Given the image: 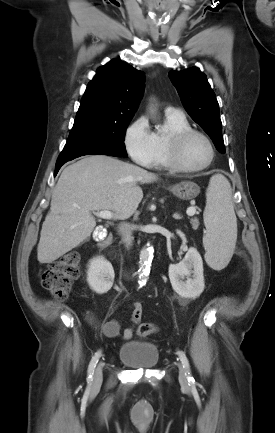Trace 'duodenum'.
Instances as JSON below:
<instances>
[{"instance_id": "410a0bca", "label": "duodenum", "mask_w": 275, "mask_h": 433, "mask_svg": "<svg viewBox=\"0 0 275 433\" xmlns=\"http://www.w3.org/2000/svg\"><path fill=\"white\" fill-rule=\"evenodd\" d=\"M110 241H111V237L110 236H106L105 234H99L97 236L98 248L100 250H103V251L107 250ZM113 257L116 258L119 261V259H118V257L116 255H113ZM121 273H122V276L125 279L132 280L134 278L133 271H131L129 269L124 268L121 271Z\"/></svg>"}]
</instances>
